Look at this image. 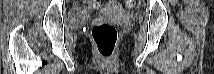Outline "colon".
<instances>
[{
  "instance_id": "obj_1",
  "label": "colon",
  "mask_w": 214,
  "mask_h": 74,
  "mask_svg": "<svg viewBox=\"0 0 214 74\" xmlns=\"http://www.w3.org/2000/svg\"><path fill=\"white\" fill-rule=\"evenodd\" d=\"M101 4L102 2L97 0L89 2L93 9H99ZM135 4V0L124 1V5L128 9H132ZM92 38L100 56L110 57L113 55L118 41V31L114 25L104 22L96 23L92 28Z\"/></svg>"
}]
</instances>
